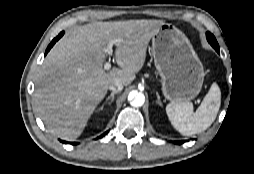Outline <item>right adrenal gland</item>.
Here are the masks:
<instances>
[{
  "instance_id": "1",
  "label": "right adrenal gland",
  "mask_w": 254,
  "mask_h": 174,
  "mask_svg": "<svg viewBox=\"0 0 254 174\" xmlns=\"http://www.w3.org/2000/svg\"><path fill=\"white\" fill-rule=\"evenodd\" d=\"M118 92H112L111 94H110V96H108L107 98H106V100H105V103H107L109 100H110V102H109V104L111 105L112 103H113V101H114V95L115 94H117ZM104 106V105H103ZM103 106H102V108H103ZM101 108V109H102Z\"/></svg>"
}]
</instances>
